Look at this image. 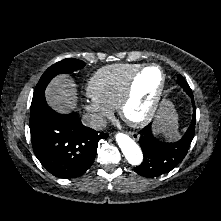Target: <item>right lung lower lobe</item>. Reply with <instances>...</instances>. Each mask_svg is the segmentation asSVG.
<instances>
[{
  "label": "right lung lower lobe",
  "instance_id": "obj_1",
  "mask_svg": "<svg viewBox=\"0 0 221 221\" xmlns=\"http://www.w3.org/2000/svg\"><path fill=\"white\" fill-rule=\"evenodd\" d=\"M30 133L34 153L44 168L59 178H75L93 164L98 142L108 134L82 124L77 113L58 114L44 93L30 108Z\"/></svg>",
  "mask_w": 221,
  "mask_h": 221
}]
</instances>
